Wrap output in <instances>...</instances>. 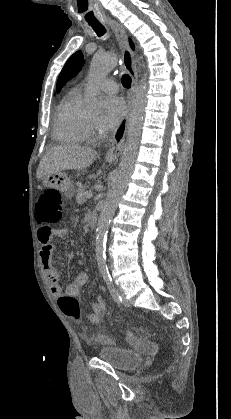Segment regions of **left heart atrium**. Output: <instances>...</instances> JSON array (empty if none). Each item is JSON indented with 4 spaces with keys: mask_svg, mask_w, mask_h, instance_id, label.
I'll use <instances>...</instances> for the list:
<instances>
[{
    "mask_svg": "<svg viewBox=\"0 0 231 419\" xmlns=\"http://www.w3.org/2000/svg\"><path fill=\"white\" fill-rule=\"evenodd\" d=\"M125 110V104L121 98L116 96L107 98L103 112L97 121L98 127L104 132L113 130L123 118Z\"/></svg>",
    "mask_w": 231,
    "mask_h": 419,
    "instance_id": "obj_1",
    "label": "left heart atrium"
}]
</instances>
